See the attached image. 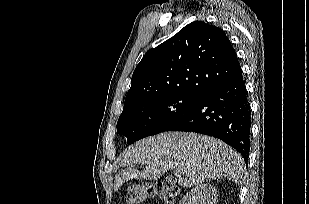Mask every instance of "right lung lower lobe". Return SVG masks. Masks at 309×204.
<instances>
[{
	"label": "right lung lower lobe",
	"instance_id": "98d812e1",
	"mask_svg": "<svg viewBox=\"0 0 309 204\" xmlns=\"http://www.w3.org/2000/svg\"><path fill=\"white\" fill-rule=\"evenodd\" d=\"M251 111L242 69L203 92L197 102L165 131L197 132L219 138L248 160Z\"/></svg>",
	"mask_w": 309,
	"mask_h": 204
}]
</instances>
